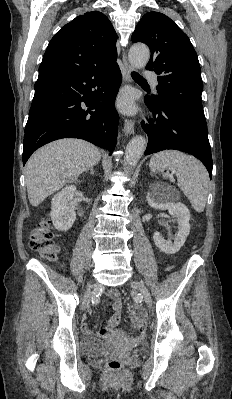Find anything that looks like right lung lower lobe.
<instances>
[{"mask_svg": "<svg viewBox=\"0 0 232 399\" xmlns=\"http://www.w3.org/2000/svg\"><path fill=\"white\" fill-rule=\"evenodd\" d=\"M121 84L116 61L77 71L39 72L25 127L23 164L39 147L80 138L110 151L117 141L115 99Z\"/></svg>", "mask_w": 232, "mask_h": 399, "instance_id": "right-lung-lower-lobe-1", "label": "right lung lower lobe"}]
</instances>
